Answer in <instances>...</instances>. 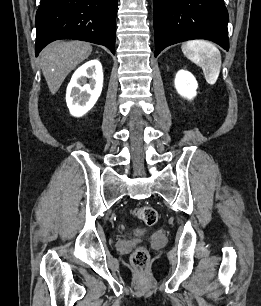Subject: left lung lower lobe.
<instances>
[{"instance_id":"left-lung-lower-lobe-1","label":"left lung lower lobe","mask_w":261,"mask_h":306,"mask_svg":"<svg viewBox=\"0 0 261 306\" xmlns=\"http://www.w3.org/2000/svg\"><path fill=\"white\" fill-rule=\"evenodd\" d=\"M228 12L223 0H155V57L167 46L208 39L229 50Z\"/></svg>"}]
</instances>
